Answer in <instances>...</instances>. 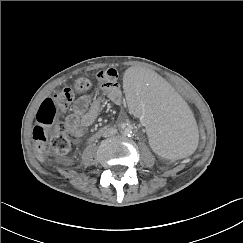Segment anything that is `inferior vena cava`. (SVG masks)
<instances>
[{
  "label": "inferior vena cava",
  "instance_id": "inferior-vena-cava-1",
  "mask_svg": "<svg viewBox=\"0 0 243 243\" xmlns=\"http://www.w3.org/2000/svg\"><path fill=\"white\" fill-rule=\"evenodd\" d=\"M117 133V129L116 128H107L104 132H103V136L104 137H110L113 136Z\"/></svg>",
  "mask_w": 243,
  "mask_h": 243
}]
</instances>
